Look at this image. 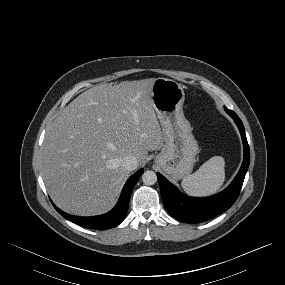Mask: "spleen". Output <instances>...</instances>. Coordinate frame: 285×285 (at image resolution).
<instances>
[{
    "instance_id": "3e777b00",
    "label": "spleen",
    "mask_w": 285,
    "mask_h": 285,
    "mask_svg": "<svg viewBox=\"0 0 285 285\" xmlns=\"http://www.w3.org/2000/svg\"><path fill=\"white\" fill-rule=\"evenodd\" d=\"M224 181V158L214 156L206 161L195 173L186 176L181 185L188 195L205 197L217 193Z\"/></svg>"
}]
</instances>
